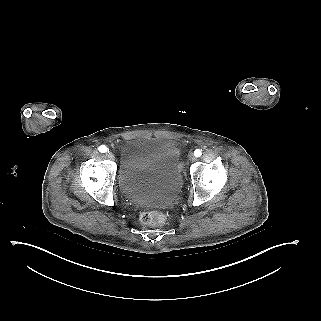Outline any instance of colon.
I'll return each mask as SVG.
<instances>
[{"instance_id": "1", "label": "colon", "mask_w": 321, "mask_h": 321, "mask_svg": "<svg viewBox=\"0 0 321 321\" xmlns=\"http://www.w3.org/2000/svg\"><path fill=\"white\" fill-rule=\"evenodd\" d=\"M140 220L145 225L159 226L165 222L166 215L159 210L144 211L140 215Z\"/></svg>"}]
</instances>
